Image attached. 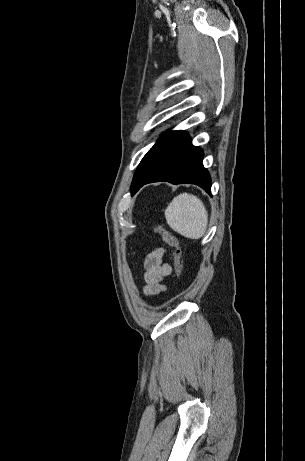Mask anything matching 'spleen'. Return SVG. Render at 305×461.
<instances>
[{
	"instance_id": "obj_1",
	"label": "spleen",
	"mask_w": 305,
	"mask_h": 461,
	"mask_svg": "<svg viewBox=\"0 0 305 461\" xmlns=\"http://www.w3.org/2000/svg\"><path fill=\"white\" fill-rule=\"evenodd\" d=\"M168 225L189 239L201 238L207 229L208 213L203 202L196 196L182 193L173 198L165 210Z\"/></svg>"
}]
</instances>
